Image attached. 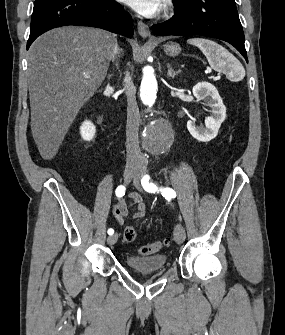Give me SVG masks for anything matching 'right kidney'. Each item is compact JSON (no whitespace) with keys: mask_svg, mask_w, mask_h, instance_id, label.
I'll return each mask as SVG.
<instances>
[{"mask_svg":"<svg viewBox=\"0 0 285 335\" xmlns=\"http://www.w3.org/2000/svg\"><path fill=\"white\" fill-rule=\"evenodd\" d=\"M80 134L83 138V140H86V142H90V140H93L95 134H96V128L92 122H83L82 126H80Z\"/></svg>","mask_w":285,"mask_h":335,"instance_id":"right-kidney-1","label":"right kidney"}]
</instances>
